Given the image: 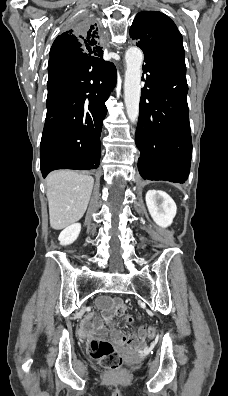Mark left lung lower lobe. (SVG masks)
I'll return each mask as SVG.
<instances>
[{"instance_id":"obj_1","label":"left lung lower lobe","mask_w":228,"mask_h":396,"mask_svg":"<svg viewBox=\"0 0 228 396\" xmlns=\"http://www.w3.org/2000/svg\"><path fill=\"white\" fill-rule=\"evenodd\" d=\"M143 73L135 135L139 173L145 180L184 183L192 157L186 76L172 64L151 58H145Z\"/></svg>"}]
</instances>
